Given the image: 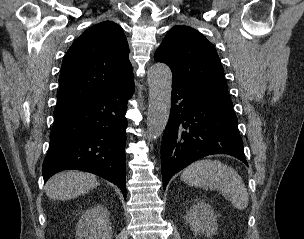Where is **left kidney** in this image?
<instances>
[{"instance_id": "left-kidney-1", "label": "left kidney", "mask_w": 304, "mask_h": 239, "mask_svg": "<svg viewBox=\"0 0 304 239\" xmlns=\"http://www.w3.org/2000/svg\"><path fill=\"white\" fill-rule=\"evenodd\" d=\"M217 215L212 207L204 201L193 205L187 213V220L194 233H201L207 236L215 234L218 228Z\"/></svg>"}]
</instances>
